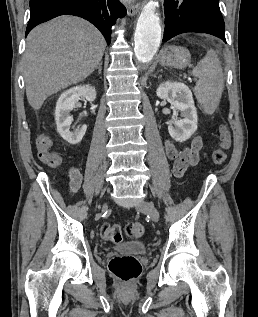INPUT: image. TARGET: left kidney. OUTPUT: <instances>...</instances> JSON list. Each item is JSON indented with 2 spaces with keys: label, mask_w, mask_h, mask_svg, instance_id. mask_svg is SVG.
Returning <instances> with one entry per match:
<instances>
[{
  "label": "left kidney",
  "mask_w": 258,
  "mask_h": 317,
  "mask_svg": "<svg viewBox=\"0 0 258 317\" xmlns=\"http://www.w3.org/2000/svg\"><path fill=\"white\" fill-rule=\"evenodd\" d=\"M156 94L159 98H166L172 104L173 122H170L168 126L170 136L178 142L190 138L198 128V116L189 86L184 82L166 80L156 88ZM178 112H181L183 118H178Z\"/></svg>",
  "instance_id": "obj_1"
}]
</instances>
